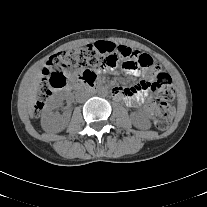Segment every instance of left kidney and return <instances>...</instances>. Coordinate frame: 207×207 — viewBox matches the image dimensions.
Returning a JSON list of instances; mask_svg holds the SVG:
<instances>
[{
	"instance_id": "left-kidney-1",
	"label": "left kidney",
	"mask_w": 207,
	"mask_h": 207,
	"mask_svg": "<svg viewBox=\"0 0 207 207\" xmlns=\"http://www.w3.org/2000/svg\"><path fill=\"white\" fill-rule=\"evenodd\" d=\"M133 125L142 130H147L151 127L150 120L141 112H133L131 115Z\"/></svg>"
}]
</instances>
